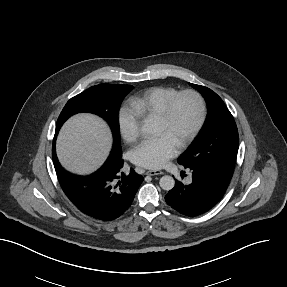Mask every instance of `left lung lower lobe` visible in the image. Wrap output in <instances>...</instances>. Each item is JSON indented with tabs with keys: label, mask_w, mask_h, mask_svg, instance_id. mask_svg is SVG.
<instances>
[{
	"label": "left lung lower lobe",
	"mask_w": 287,
	"mask_h": 287,
	"mask_svg": "<svg viewBox=\"0 0 287 287\" xmlns=\"http://www.w3.org/2000/svg\"><path fill=\"white\" fill-rule=\"evenodd\" d=\"M192 182L188 185L176 180L175 187L165 196L168 205L187 216L203 214L223 197L232 175L219 170L192 166Z\"/></svg>",
	"instance_id": "1"
}]
</instances>
